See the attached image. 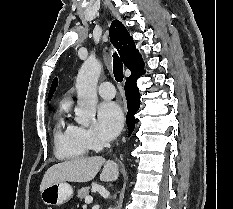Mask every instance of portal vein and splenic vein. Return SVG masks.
<instances>
[{"instance_id": "obj_1", "label": "portal vein and splenic vein", "mask_w": 233, "mask_h": 209, "mask_svg": "<svg viewBox=\"0 0 233 209\" xmlns=\"http://www.w3.org/2000/svg\"><path fill=\"white\" fill-rule=\"evenodd\" d=\"M92 201H93V198L91 196L85 197V203L86 204H90V203H92Z\"/></svg>"}]
</instances>
